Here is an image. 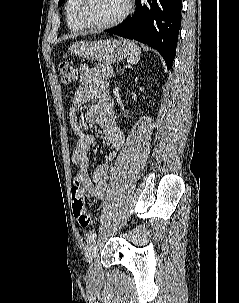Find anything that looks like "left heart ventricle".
<instances>
[{
    "label": "left heart ventricle",
    "mask_w": 239,
    "mask_h": 303,
    "mask_svg": "<svg viewBox=\"0 0 239 303\" xmlns=\"http://www.w3.org/2000/svg\"><path fill=\"white\" fill-rule=\"evenodd\" d=\"M125 7L126 0H85L83 13L92 23H106L116 19Z\"/></svg>",
    "instance_id": "left-heart-ventricle-1"
}]
</instances>
